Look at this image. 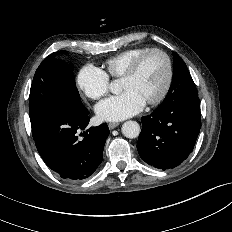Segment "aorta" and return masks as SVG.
<instances>
[{
	"label": "aorta",
	"mask_w": 232,
	"mask_h": 232,
	"mask_svg": "<svg viewBox=\"0 0 232 232\" xmlns=\"http://www.w3.org/2000/svg\"><path fill=\"white\" fill-rule=\"evenodd\" d=\"M110 90L113 93H118L119 92V85L117 82H113L110 84ZM122 134L127 137V138H136L139 136L140 134V126L136 121H126L123 125H122Z\"/></svg>",
	"instance_id": "obj_1"
}]
</instances>
